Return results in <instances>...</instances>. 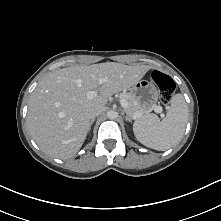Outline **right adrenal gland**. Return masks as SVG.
<instances>
[{
    "instance_id": "2a0ac1e0",
    "label": "right adrenal gland",
    "mask_w": 221,
    "mask_h": 221,
    "mask_svg": "<svg viewBox=\"0 0 221 221\" xmlns=\"http://www.w3.org/2000/svg\"><path fill=\"white\" fill-rule=\"evenodd\" d=\"M94 121H95V118H92L91 121H90V124H89V131H90L91 125L94 123Z\"/></svg>"
}]
</instances>
